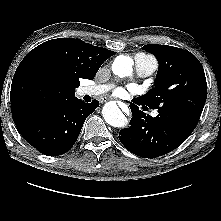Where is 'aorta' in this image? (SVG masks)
Masks as SVG:
<instances>
[{
  "instance_id": "aorta-1",
  "label": "aorta",
  "mask_w": 221,
  "mask_h": 221,
  "mask_svg": "<svg viewBox=\"0 0 221 221\" xmlns=\"http://www.w3.org/2000/svg\"><path fill=\"white\" fill-rule=\"evenodd\" d=\"M132 61L129 57L118 56L112 65V71L120 77L130 76L132 73ZM103 117L105 121L113 127H124L127 124V119L118 108L116 103L109 102L103 107Z\"/></svg>"
}]
</instances>
